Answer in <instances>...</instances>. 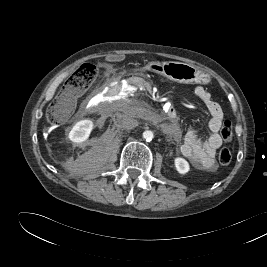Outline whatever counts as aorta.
<instances>
[{"mask_svg": "<svg viewBox=\"0 0 267 267\" xmlns=\"http://www.w3.org/2000/svg\"><path fill=\"white\" fill-rule=\"evenodd\" d=\"M154 137V134L150 130H146L143 132V138L147 141L150 142Z\"/></svg>", "mask_w": 267, "mask_h": 267, "instance_id": "1", "label": "aorta"}]
</instances>
